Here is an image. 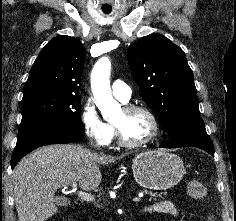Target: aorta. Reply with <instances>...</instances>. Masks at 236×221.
Here are the masks:
<instances>
[{
  "mask_svg": "<svg viewBox=\"0 0 236 221\" xmlns=\"http://www.w3.org/2000/svg\"><path fill=\"white\" fill-rule=\"evenodd\" d=\"M97 66L102 70L101 81L99 83L92 81V90L97 102V106L105 118H114L120 116L122 114L121 106L112 97L110 88L109 75L111 63L108 58L104 57L98 61Z\"/></svg>",
  "mask_w": 236,
  "mask_h": 221,
  "instance_id": "obj_1",
  "label": "aorta"
}]
</instances>
